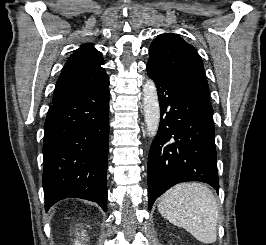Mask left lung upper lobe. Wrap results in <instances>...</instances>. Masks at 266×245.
Listing matches in <instances>:
<instances>
[{
    "label": "left lung upper lobe",
    "mask_w": 266,
    "mask_h": 245,
    "mask_svg": "<svg viewBox=\"0 0 266 245\" xmlns=\"http://www.w3.org/2000/svg\"><path fill=\"white\" fill-rule=\"evenodd\" d=\"M149 55L148 63L157 65L209 101L203 63L192 45L177 34L165 33L153 40Z\"/></svg>",
    "instance_id": "left-lung-upper-lobe-1"
}]
</instances>
